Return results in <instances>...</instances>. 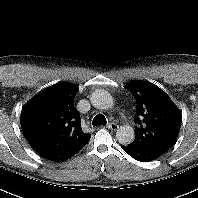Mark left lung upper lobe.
Wrapping results in <instances>:
<instances>
[{"label":"left lung upper lobe","instance_id":"5c2ea615","mask_svg":"<svg viewBox=\"0 0 198 198\" xmlns=\"http://www.w3.org/2000/svg\"><path fill=\"white\" fill-rule=\"evenodd\" d=\"M125 88L138 104L136 137L130 145L165 153L178 137L181 112L166 93L150 82L133 80Z\"/></svg>","mask_w":198,"mask_h":198}]
</instances>
